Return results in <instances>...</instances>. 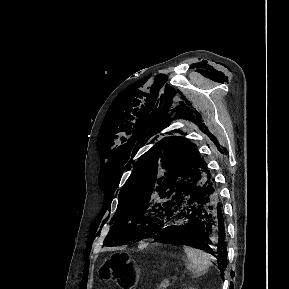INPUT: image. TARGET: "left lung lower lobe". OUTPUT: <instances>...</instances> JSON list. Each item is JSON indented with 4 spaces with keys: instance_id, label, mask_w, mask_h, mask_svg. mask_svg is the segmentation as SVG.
<instances>
[{
    "instance_id": "0a47b994",
    "label": "left lung lower lobe",
    "mask_w": 289,
    "mask_h": 289,
    "mask_svg": "<svg viewBox=\"0 0 289 289\" xmlns=\"http://www.w3.org/2000/svg\"><path fill=\"white\" fill-rule=\"evenodd\" d=\"M222 207L215 180L209 174L204 180L188 183L180 189L169 202L162 225L146 237L191 239L193 247L216 257L223 273L227 265V252Z\"/></svg>"
}]
</instances>
